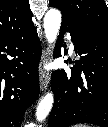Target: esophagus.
I'll return each mask as SVG.
<instances>
[{
	"mask_svg": "<svg viewBox=\"0 0 108 127\" xmlns=\"http://www.w3.org/2000/svg\"><path fill=\"white\" fill-rule=\"evenodd\" d=\"M51 58V51L49 48L43 50L40 66H39V80H40V88L42 91L46 90L49 85L50 81V74L49 72L45 71L44 65L50 60Z\"/></svg>",
	"mask_w": 108,
	"mask_h": 127,
	"instance_id": "obj_1",
	"label": "esophagus"
}]
</instances>
